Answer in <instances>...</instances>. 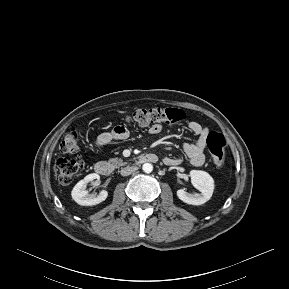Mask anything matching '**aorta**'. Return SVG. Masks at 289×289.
Listing matches in <instances>:
<instances>
[{
    "mask_svg": "<svg viewBox=\"0 0 289 289\" xmlns=\"http://www.w3.org/2000/svg\"><path fill=\"white\" fill-rule=\"evenodd\" d=\"M142 170L145 173H151L152 170H153V165L151 163H144L143 166H142Z\"/></svg>",
    "mask_w": 289,
    "mask_h": 289,
    "instance_id": "1",
    "label": "aorta"
}]
</instances>
